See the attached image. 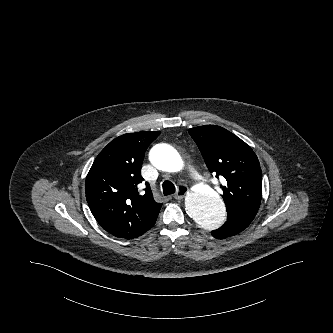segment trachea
Listing matches in <instances>:
<instances>
[{"instance_id":"3493384b","label":"trachea","mask_w":333,"mask_h":333,"mask_svg":"<svg viewBox=\"0 0 333 333\" xmlns=\"http://www.w3.org/2000/svg\"><path fill=\"white\" fill-rule=\"evenodd\" d=\"M162 188L165 196L173 194L176 191L175 185L171 181H165L162 184Z\"/></svg>"}]
</instances>
